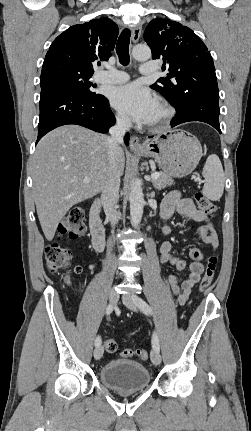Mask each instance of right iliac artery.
Wrapping results in <instances>:
<instances>
[{
	"label": "right iliac artery",
	"instance_id": "82829eb1",
	"mask_svg": "<svg viewBox=\"0 0 251 431\" xmlns=\"http://www.w3.org/2000/svg\"><path fill=\"white\" fill-rule=\"evenodd\" d=\"M112 311H113V305L109 304L106 308V315H110L112 313ZM100 344H101V337L97 336L95 339V346L96 347L100 346Z\"/></svg>",
	"mask_w": 251,
	"mask_h": 431
}]
</instances>
